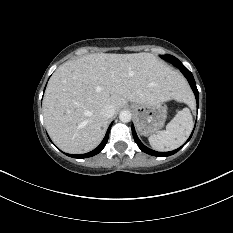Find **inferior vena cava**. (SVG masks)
I'll use <instances>...</instances> for the list:
<instances>
[{"mask_svg":"<svg viewBox=\"0 0 233 233\" xmlns=\"http://www.w3.org/2000/svg\"><path fill=\"white\" fill-rule=\"evenodd\" d=\"M101 114L109 119L115 114V107L112 104H107L101 109Z\"/></svg>","mask_w":233,"mask_h":233,"instance_id":"inferior-vena-cava-1","label":"inferior vena cava"}]
</instances>
